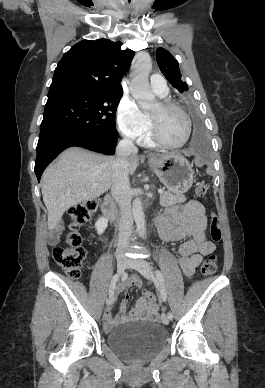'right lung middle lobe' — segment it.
Instances as JSON below:
<instances>
[{
	"label": "right lung middle lobe",
	"instance_id": "obj_1",
	"mask_svg": "<svg viewBox=\"0 0 265 388\" xmlns=\"http://www.w3.org/2000/svg\"><path fill=\"white\" fill-rule=\"evenodd\" d=\"M122 95V89L48 94L40 135L74 128L105 138H118L115 113Z\"/></svg>",
	"mask_w": 265,
	"mask_h": 388
}]
</instances>
